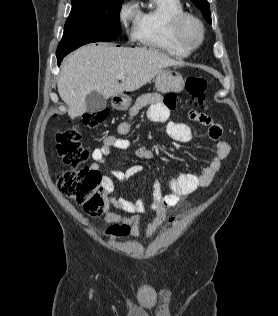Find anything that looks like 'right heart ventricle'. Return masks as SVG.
Instances as JSON below:
<instances>
[{
    "label": "right heart ventricle",
    "mask_w": 278,
    "mask_h": 316,
    "mask_svg": "<svg viewBox=\"0 0 278 316\" xmlns=\"http://www.w3.org/2000/svg\"><path fill=\"white\" fill-rule=\"evenodd\" d=\"M184 12L182 0H149L148 7L140 11L137 41L174 57H187L192 49L180 41L174 27L176 17Z\"/></svg>",
    "instance_id": "e07e8e85"
}]
</instances>
